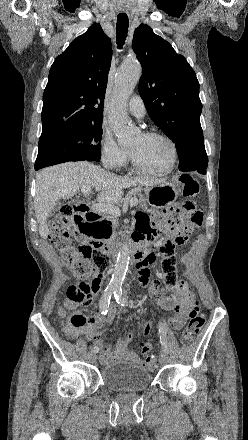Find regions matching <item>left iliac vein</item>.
I'll list each match as a JSON object with an SVG mask.
<instances>
[{"mask_svg": "<svg viewBox=\"0 0 248 440\" xmlns=\"http://www.w3.org/2000/svg\"><path fill=\"white\" fill-rule=\"evenodd\" d=\"M169 362V356L166 352H162L160 355V363L162 365H165Z\"/></svg>", "mask_w": 248, "mask_h": 440, "instance_id": "left-iliac-vein-1", "label": "left iliac vein"}]
</instances>
